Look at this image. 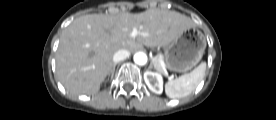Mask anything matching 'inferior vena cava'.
Segmentation results:
<instances>
[{"mask_svg":"<svg viewBox=\"0 0 276 120\" xmlns=\"http://www.w3.org/2000/svg\"><path fill=\"white\" fill-rule=\"evenodd\" d=\"M130 56V52L126 49H120L118 50L114 56H113V61L115 63H118L120 61L125 60L126 58H128Z\"/></svg>","mask_w":276,"mask_h":120,"instance_id":"602c4592","label":"inferior vena cava"}]
</instances>
